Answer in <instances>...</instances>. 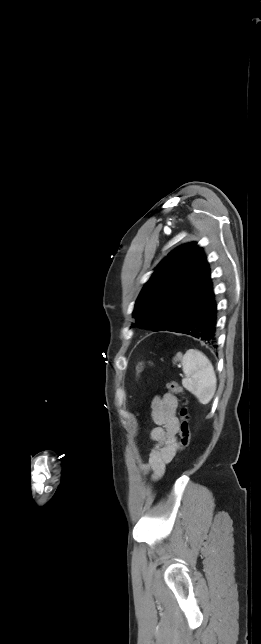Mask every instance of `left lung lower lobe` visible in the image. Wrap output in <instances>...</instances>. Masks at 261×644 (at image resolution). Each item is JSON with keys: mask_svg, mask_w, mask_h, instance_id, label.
<instances>
[{"mask_svg": "<svg viewBox=\"0 0 261 644\" xmlns=\"http://www.w3.org/2000/svg\"><path fill=\"white\" fill-rule=\"evenodd\" d=\"M217 302L213 290L180 323L168 329L217 347Z\"/></svg>", "mask_w": 261, "mask_h": 644, "instance_id": "left-lung-lower-lobe-1", "label": "left lung lower lobe"}]
</instances>
